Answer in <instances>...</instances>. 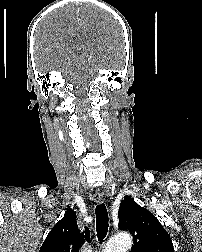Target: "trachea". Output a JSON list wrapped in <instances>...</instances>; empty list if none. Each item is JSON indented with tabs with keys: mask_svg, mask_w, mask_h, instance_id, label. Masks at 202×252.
<instances>
[{
	"mask_svg": "<svg viewBox=\"0 0 202 252\" xmlns=\"http://www.w3.org/2000/svg\"><path fill=\"white\" fill-rule=\"evenodd\" d=\"M96 231L99 241H102L108 232L109 218L106 206L104 203L96 206Z\"/></svg>",
	"mask_w": 202,
	"mask_h": 252,
	"instance_id": "3493384b",
	"label": "trachea"
}]
</instances>
